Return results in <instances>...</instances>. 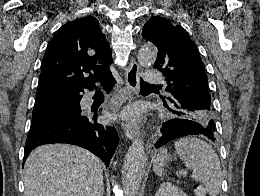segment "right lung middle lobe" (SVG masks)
<instances>
[{
  "instance_id": "1",
  "label": "right lung middle lobe",
  "mask_w": 260,
  "mask_h": 196,
  "mask_svg": "<svg viewBox=\"0 0 260 196\" xmlns=\"http://www.w3.org/2000/svg\"><path fill=\"white\" fill-rule=\"evenodd\" d=\"M80 114L73 112H64L52 109L49 106L35 107L32 114V123L30 130H35L52 123L71 120L79 117Z\"/></svg>"
}]
</instances>
